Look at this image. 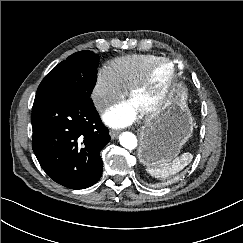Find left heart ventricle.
<instances>
[{
	"label": "left heart ventricle",
	"instance_id": "obj_1",
	"mask_svg": "<svg viewBox=\"0 0 243 243\" xmlns=\"http://www.w3.org/2000/svg\"><path fill=\"white\" fill-rule=\"evenodd\" d=\"M171 76V67L167 64L159 65L153 72L149 83L140 91L135 93L130 102L142 110L158 100L168 84Z\"/></svg>",
	"mask_w": 243,
	"mask_h": 243
}]
</instances>
